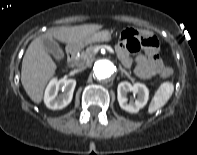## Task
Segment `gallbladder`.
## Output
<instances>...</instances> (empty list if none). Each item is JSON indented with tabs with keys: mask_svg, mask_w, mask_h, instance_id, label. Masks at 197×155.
I'll return each instance as SVG.
<instances>
[{
	"mask_svg": "<svg viewBox=\"0 0 197 155\" xmlns=\"http://www.w3.org/2000/svg\"><path fill=\"white\" fill-rule=\"evenodd\" d=\"M42 43L45 50L49 54H51L57 61H60L64 58V52L55 40L44 38L42 40Z\"/></svg>",
	"mask_w": 197,
	"mask_h": 155,
	"instance_id": "gallbladder-1",
	"label": "gallbladder"
}]
</instances>
